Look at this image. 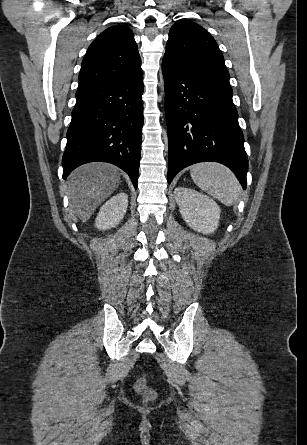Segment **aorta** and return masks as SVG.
<instances>
[{"label": "aorta", "instance_id": "1", "mask_svg": "<svg viewBox=\"0 0 307 445\" xmlns=\"http://www.w3.org/2000/svg\"><path fill=\"white\" fill-rule=\"evenodd\" d=\"M161 88H162V90H163L164 86H161Z\"/></svg>", "mask_w": 307, "mask_h": 445}]
</instances>
